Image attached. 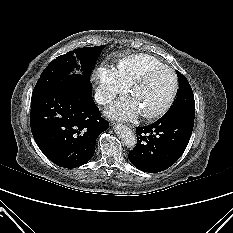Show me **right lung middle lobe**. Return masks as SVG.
<instances>
[{"mask_svg":"<svg viewBox=\"0 0 233 233\" xmlns=\"http://www.w3.org/2000/svg\"><path fill=\"white\" fill-rule=\"evenodd\" d=\"M102 49L103 45L78 48L57 57L42 72L35 85L33 94L57 86L73 78L80 77L90 80L94 63ZM76 61L81 64V75L70 74L77 66Z\"/></svg>","mask_w":233,"mask_h":233,"instance_id":"obj_1","label":"right lung middle lobe"}]
</instances>
